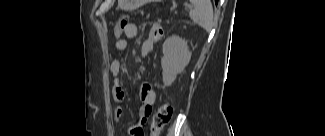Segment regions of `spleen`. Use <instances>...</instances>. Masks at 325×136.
<instances>
[{
  "label": "spleen",
  "mask_w": 325,
  "mask_h": 136,
  "mask_svg": "<svg viewBox=\"0 0 325 136\" xmlns=\"http://www.w3.org/2000/svg\"><path fill=\"white\" fill-rule=\"evenodd\" d=\"M194 9L189 15L193 22L207 32L213 28V7L210 0H194Z\"/></svg>",
  "instance_id": "spleen-1"
}]
</instances>
